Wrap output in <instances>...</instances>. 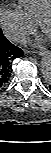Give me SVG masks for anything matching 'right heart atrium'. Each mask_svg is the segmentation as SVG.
Listing matches in <instances>:
<instances>
[{"label": "right heart atrium", "mask_w": 51, "mask_h": 153, "mask_svg": "<svg viewBox=\"0 0 51 153\" xmlns=\"http://www.w3.org/2000/svg\"><path fill=\"white\" fill-rule=\"evenodd\" d=\"M0 24L5 35L14 41L22 40L34 29L33 22L24 16L18 6H2Z\"/></svg>", "instance_id": "right-heart-atrium-1"}]
</instances>
